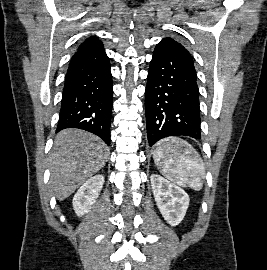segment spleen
Listing matches in <instances>:
<instances>
[{
    "label": "spleen",
    "mask_w": 267,
    "mask_h": 270,
    "mask_svg": "<svg viewBox=\"0 0 267 270\" xmlns=\"http://www.w3.org/2000/svg\"><path fill=\"white\" fill-rule=\"evenodd\" d=\"M153 159L159 171L174 183L199 191L203 186L205 165L198 152L186 141L177 137L161 140Z\"/></svg>",
    "instance_id": "spleen-1"
}]
</instances>
